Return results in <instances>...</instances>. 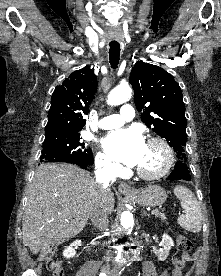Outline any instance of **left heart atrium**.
Masks as SVG:
<instances>
[{
	"mask_svg": "<svg viewBox=\"0 0 221 276\" xmlns=\"http://www.w3.org/2000/svg\"><path fill=\"white\" fill-rule=\"evenodd\" d=\"M104 147L111 158L134 167L141 162L146 144L138 130L124 129L110 133Z\"/></svg>",
	"mask_w": 221,
	"mask_h": 276,
	"instance_id": "1",
	"label": "left heart atrium"
}]
</instances>
